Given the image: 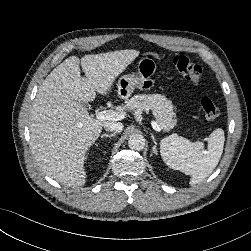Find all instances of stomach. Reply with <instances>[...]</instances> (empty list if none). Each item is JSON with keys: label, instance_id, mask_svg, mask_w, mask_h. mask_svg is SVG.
I'll return each instance as SVG.
<instances>
[{"label": "stomach", "instance_id": "obj_1", "mask_svg": "<svg viewBox=\"0 0 251 251\" xmlns=\"http://www.w3.org/2000/svg\"><path fill=\"white\" fill-rule=\"evenodd\" d=\"M156 67V62L153 59L149 57L140 59L136 75L127 74L119 78L118 95L121 98H127L136 88L150 90L155 84L151 76L155 73Z\"/></svg>", "mask_w": 251, "mask_h": 251}]
</instances>
